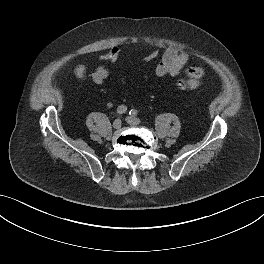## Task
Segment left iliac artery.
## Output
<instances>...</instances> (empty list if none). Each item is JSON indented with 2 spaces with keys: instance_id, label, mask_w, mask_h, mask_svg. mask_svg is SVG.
<instances>
[{
  "instance_id": "obj_1",
  "label": "left iliac artery",
  "mask_w": 264,
  "mask_h": 264,
  "mask_svg": "<svg viewBox=\"0 0 264 264\" xmlns=\"http://www.w3.org/2000/svg\"><path fill=\"white\" fill-rule=\"evenodd\" d=\"M129 114H130L131 116H136V115H137V110L132 109V110H130Z\"/></svg>"
}]
</instances>
